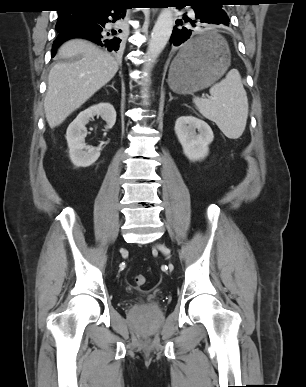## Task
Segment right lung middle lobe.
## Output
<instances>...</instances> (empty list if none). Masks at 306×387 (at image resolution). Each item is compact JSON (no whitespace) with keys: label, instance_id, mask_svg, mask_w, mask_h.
Listing matches in <instances>:
<instances>
[{"label":"right lung middle lobe","instance_id":"obj_1","mask_svg":"<svg viewBox=\"0 0 306 387\" xmlns=\"http://www.w3.org/2000/svg\"><path fill=\"white\" fill-rule=\"evenodd\" d=\"M85 16V8L64 9L59 12L56 30L60 31L80 23Z\"/></svg>","mask_w":306,"mask_h":387}]
</instances>
